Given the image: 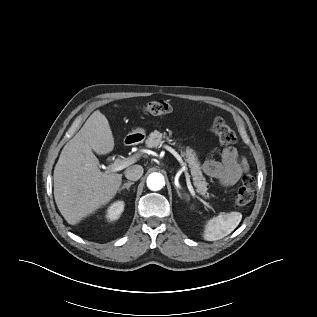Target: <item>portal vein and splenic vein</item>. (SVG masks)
<instances>
[{
	"label": "portal vein and splenic vein",
	"mask_w": 317,
	"mask_h": 317,
	"mask_svg": "<svg viewBox=\"0 0 317 317\" xmlns=\"http://www.w3.org/2000/svg\"><path fill=\"white\" fill-rule=\"evenodd\" d=\"M165 149L168 150L169 152H171L175 157L176 159L181 163V165L183 166L184 168V171H185V175H186V180H187V184H188V189L190 190L191 193H194V190L191 186V182H190V175L189 173L187 172V168H186V164L184 163V161L182 160L181 156L171 147L169 146H165ZM139 157L137 155H134L130 158H127L125 160H121V159H116L114 164H112L110 166V169L112 172H118V171H121L123 170L124 168L128 167L129 165L135 163L137 161ZM195 178H193L194 180ZM205 205L211 210L213 211L214 213H216L215 209L209 205L208 203H205Z\"/></svg>",
	"instance_id": "obj_1"
}]
</instances>
